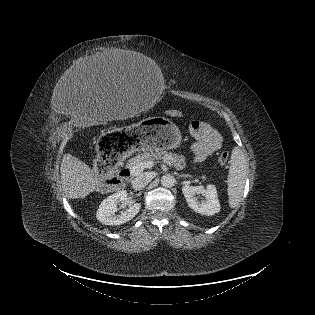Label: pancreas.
<instances>
[{
  "instance_id": "cf45deb5",
  "label": "pancreas",
  "mask_w": 315,
  "mask_h": 315,
  "mask_svg": "<svg viewBox=\"0 0 315 315\" xmlns=\"http://www.w3.org/2000/svg\"><path fill=\"white\" fill-rule=\"evenodd\" d=\"M158 159L169 161L177 170H182L186 167V158L184 156L167 152L165 150H158L156 152L140 153L134 158H131L127 163V168L131 169L137 163L154 161Z\"/></svg>"
}]
</instances>
